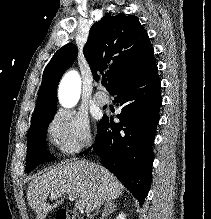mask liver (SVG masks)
<instances>
[{
    "mask_svg": "<svg viewBox=\"0 0 211 219\" xmlns=\"http://www.w3.org/2000/svg\"><path fill=\"white\" fill-rule=\"evenodd\" d=\"M123 191L124 186L106 168L81 160L55 166L36 176L29 184L27 199L37 219H45L49 211L64 201L61 199L53 205L47 204L46 199L51 194H74L90 213L95 209V202H111Z\"/></svg>",
    "mask_w": 211,
    "mask_h": 219,
    "instance_id": "liver-1",
    "label": "liver"
}]
</instances>
